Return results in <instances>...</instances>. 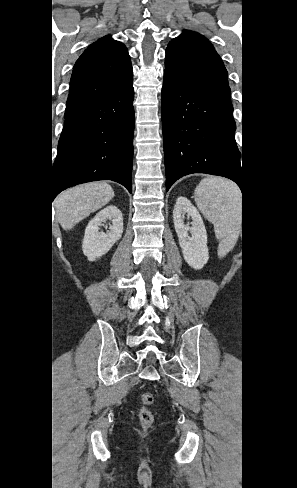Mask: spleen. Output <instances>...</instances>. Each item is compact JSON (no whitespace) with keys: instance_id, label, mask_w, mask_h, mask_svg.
Here are the masks:
<instances>
[{"instance_id":"obj_1","label":"spleen","mask_w":297,"mask_h":488,"mask_svg":"<svg viewBox=\"0 0 297 488\" xmlns=\"http://www.w3.org/2000/svg\"><path fill=\"white\" fill-rule=\"evenodd\" d=\"M240 200V190L226 179L205 178L195 190L196 204L205 218L214 224L219 239L233 236Z\"/></svg>"}]
</instances>
